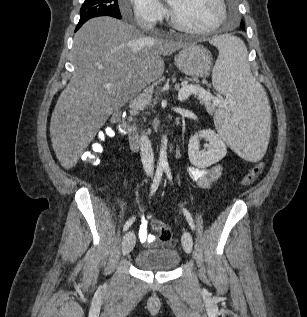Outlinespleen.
<instances>
[{
    "instance_id": "spleen-1",
    "label": "spleen",
    "mask_w": 307,
    "mask_h": 317,
    "mask_svg": "<svg viewBox=\"0 0 307 317\" xmlns=\"http://www.w3.org/2000/svg\"><path fill=\"white\" fill-rule=\"evenodd\" d=\"M209 47H217L218 58L212 72L216 90L225 94L228 110L215 116L220 136L241 155L242 160H261L271 139L269 100L250 72L244 43L231 33H212Z\"/></svg>"
}]
</instances>
